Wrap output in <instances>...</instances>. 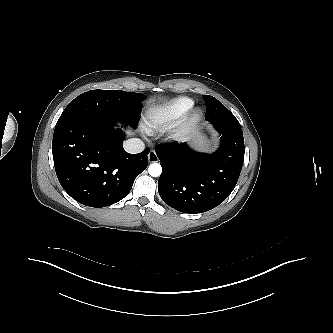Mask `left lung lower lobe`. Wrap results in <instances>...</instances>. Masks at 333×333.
<instances>
[{
	"mask_svg": "<svg viewBox=\"0 0 333 333\" xmlns=\"http://www.w3.org/2000/svg\"><path fill=\"white\" fill-rule=\"evenodd\" d=\"M211 123L221 136L215 153H199L184 143L156 148L162 166L159 195L180 212L195 214L215 208L238 181L244 161L240 124Z\"/></svg>",
	"mask_w": 333,
	"mask_h": 333,
	"instance_id": "left-lung-lower-lobe-1",
	"label": "left lung lower lobe"
}]
</instances>
